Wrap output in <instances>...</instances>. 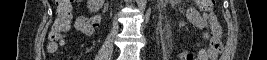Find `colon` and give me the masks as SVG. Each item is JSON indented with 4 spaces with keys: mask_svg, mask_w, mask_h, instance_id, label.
Masks as SVG:
<instances>
[{
    "mask_svg": "<svg viewBox=\"0 0 267 60\" xmlns=\"http://www.w3.org/2000/svg\"><path fill=\"white\" fill-rule=\"evenodd\" d=\"M72 0H57L56 1V18L53 22L52 29L49 35V51L56 52L58 46L63 42L64 35L70 30L72 22ZM200 8L204 12H209L215 0H199ZM86 28H90V25H86Z\"/></svg>",
    "mask_w": 267,
    "mask_h": 60,
    "instance_id": "1",
    "label": "colon"
}]
</instances>
